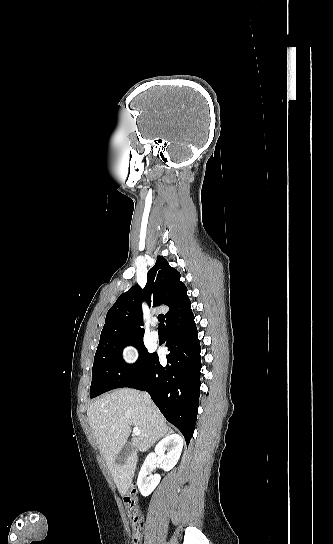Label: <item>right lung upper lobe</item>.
<instances>
[{
    "label": "right lung upper lobe",
    "mask_w": 333,
    "mask_h": 544,
    "mask_svg": "<svg viewBox=\"0 0 333 544\" xmlns=\"http://www.w3.org/2000/svg\"><path fill=\"white\" fill-rule=\"evenodd\" d=\"M187 288L180 281V273L169 266L167 260L158 256L155 265L149 270L144 289L134 285L123 293L109 309L100 340L115 337L138 338L144 335L142 300L149 307L167 305L166 324L184 318L191 310V302L186 294Z\"/></svg>",
    "instance_id": "obj_1"
}]
</instances>
